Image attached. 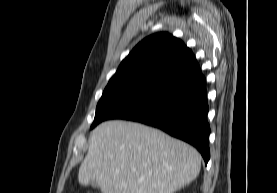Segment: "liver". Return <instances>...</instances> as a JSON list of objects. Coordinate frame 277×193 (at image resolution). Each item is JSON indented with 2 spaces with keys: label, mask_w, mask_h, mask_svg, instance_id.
Instances as JSON below:
<instances>
[{
  "label": "liver",
  "mask_w": 277,
  "mask_h": 193,
  "mask_svg": "<svg viewBox=\"0 0 277 193\" xmlns=\"http://www.w3.org/2000/svg\"><path fill=\"white\" fill-rule=\"evenodd\" d=\"M201 168L195 148L139 123L107 121L91 133L78 181L102 193H174Z\"/></svg>",
  "instance_id": "1"
}]
</instances>
